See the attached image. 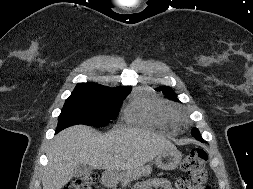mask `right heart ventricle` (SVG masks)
I'll list each match as a JSON object with an SVG mask.
<instances>
[{
  "mask_svg": "<svg viewBox=\"0 0 253 189\" xmlns=\"http://www.w3.org/2000/svg\"><path fill=\"white\" fill-rule=\"evenodd\" d=\"M127 123L138 127H152L163 130L176 129L178 115L169 104L146 98H137L124 111Z\"/></svg>",
  "mask_w": 253,
  "mask_h": 189,
  "instance_id": "obj_1",
  "label": "right heart ventricle"
}]
</instances>
